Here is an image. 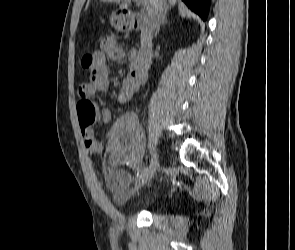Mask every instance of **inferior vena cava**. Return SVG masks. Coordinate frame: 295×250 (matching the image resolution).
Instances as JSON below:
<instances>
[{"label": "inferior vena cava", "instance_id": "inferior-vena-cava-1", "mask_svg": "<svg viewBox=\"0 0 295 250\" xmlns=\"http://www.w3.org/2000/svg\"><path fill=\"white\" fill-rule=\"evenodd\" d=\"M164 11H165L164 7H163V6H160V7L157 9V11L155 12V15H156V25H157V26H158V24H159V21H160L162 15L164 14Z\"/></svg>", "mask_w": 295, "mask_h": 250}]
</instances>
